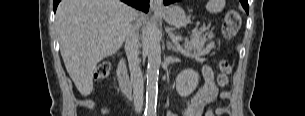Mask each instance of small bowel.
Wrapping results in <instances>:
<instances>
[{
	"instance_id": "obj_1",
	"label": "small bowel",
	"mask_w": 305,
	"mask_h": 116,
	"mask_svg": "<svg viewBox=\"0 0 305 116\" xmlns=\"http://www.w3.org/2000/svg\"><path fill=\"white\" fill-rule=\"evenodd\" d=\"M203 82L195 95L186 103L183 116H220L226 112V108L219 107L213 111V105L218 98L227 99L228 92L219 93L214 81V72L208 65L202 67ZM167 116H176L168 112Z\"/></svg>"
}]
</instances>
